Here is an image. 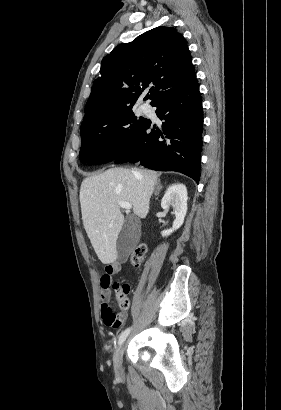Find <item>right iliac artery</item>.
Returning a JSON list of instances; mask_svg holds the SVG:
<instances>
[{"mask_svg": "<svg viewBox=\"0 0 281 410\" xmlns=\"http://www.w3.org/2000/svg\"><path fill=\"white\" fill-rule=\"evenodd\" d=\"M130 330H131L130 328H127L120 334L119 341H118L119 345L122 344L123 341L126 339L128 334L130 333Z\"/></svg>", "mask_w": 281, "mask_h": 410, "instance_id": "82829eb1", "label": "right iliac artery"}]
</instances>
